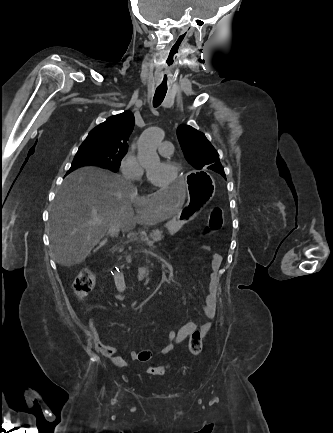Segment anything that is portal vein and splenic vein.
<instances>
[{
	"instance_id": "portal-vein-and-splenic-vein-1",
	"label": "portal vein and splenic vein",
	"mask_w": 333,
	"mask_h": 433,
	"mask_svg": "<svg viewBox=\"0 0 333 433\" xmlns=\"http://www.w3.org/2000/svg\"><path fill=\"white\" fill-rule=\"evenodd\" d=\"M94 223H101V220H96V221H94ZM144 239L146 240V242H147L148 245H152L153 244V241H149L147 237H145Z\"/></svg>"
}]
</instances>
